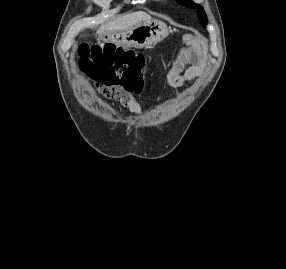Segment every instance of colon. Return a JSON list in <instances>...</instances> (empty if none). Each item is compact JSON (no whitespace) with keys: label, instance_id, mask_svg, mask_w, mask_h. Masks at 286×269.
<instances>
[{"label":"colon","instance_id":"obj_1","mask_svg":"<svg viewBox=\"0 0 286 269\" xmlns=\"http://www.w3.org/2000/svg\"><path fill=\"white\" fill-rule=\"evenodd\" d=\"M78 51L80 68L104 86L106 97L112 98L117 88L132 91L143 84L145 59L134 49L83 43Z\"/></svg>","mask_w":286,"mask_h":269}]
</instances>
